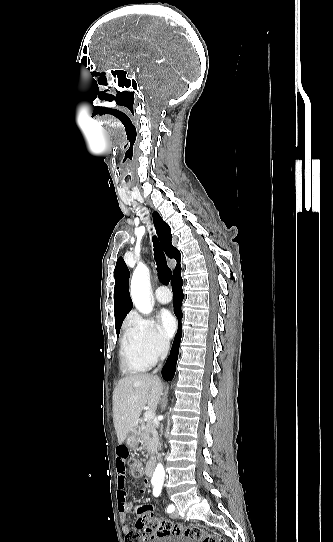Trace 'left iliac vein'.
<instances>
[{
    "label": "left iliac vein",
    "mask_w": 333,
    "mask_h": 542,
    "mask_svg": "<svg viewBox=\"0 0 333 542\" xmlns=\"http://www.w3.org/2000/svg\"><path fill=\"white\" fill-rule=\"evenodd\" d=\"M174 517H177V512L173 513Z\"/></svg>",
    "instance_id": "left-iliac-vein-1"
}]
</instances>
